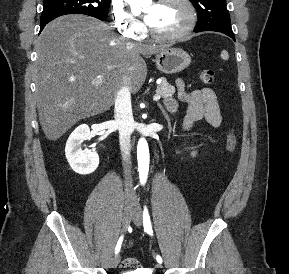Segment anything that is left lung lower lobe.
I'll list each match as a JSON object with an SVG mask.
<instances>
[{"mask_svg":"<svg viewBox=\"0 0 289 274\" xmlns=\"http://www.w3.org/2000/svg\"><path fill=\"white\" fill-rule=\"evenodd\" d=\"M222 33L228 35L229 37H231L234 41H235V36H234V33L233 31H223Z\"/></svg>","mask_w":289,"mask_h":274,"instance_id":"1","label":"left lung lower lobe"}]
</instances>
